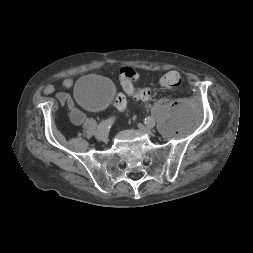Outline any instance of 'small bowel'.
<instances>
[{"instance_id": "small-bowel-1", "label": "small bowel", "mask_w": 253, "mask_h": 253, "mask_svg": "<svg viewBox=\"0 0 253 253\" xmlns=\"http://www.w3.org/2000/svg\"><path fill=\"white\" fill-rule=\"evenodd\" d=\"M73 83L74 81L72 78H65L62 81V84L65 88L72 87ZM52 91H53V86H48L45 88L44 93L49 94ZM57 99L59 100L60 103L64 104L69 100V97L66 93L61 92L57 94ZM70 118L75 125H81L85 120V115L80 110L73 109L71 112Z\"/></svg>"}]
</instances>
